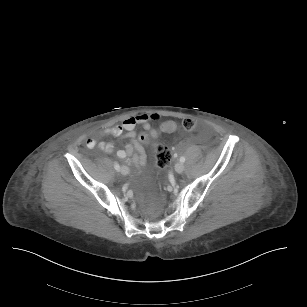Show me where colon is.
<instances>
[{
    "mask_svg": "<svg viewBox=\"0 0 307 307\" xmlns=\"http://www.w3.org/2000/svg\"><path fill=\"white\" fill-rule=\"evenodd\" d=\"M182 128L186 132H192L196 130L197 128V123L193 119H184L182 121ZM163 130L167 134H174L178 130V123L174 119H167L163 123ZM140 140L148 142L151 139L150 134L142 132L139 135ZM171 151L170 149L163 145V144H158L156 147V158H157V165L160 169H165L170 160H171Z\"/></svg>",
    "mask_w": 307,
    "mask_h": 307,
    "instance_id": "5ec220e1",
    "label": "colon"
}]
</instances>
